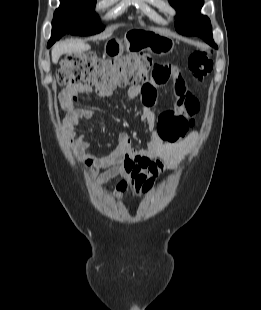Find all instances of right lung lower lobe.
I'll list each match as a JSON object with an SVG mask.
<instances>
[{
    "mask_svg": "<svg viewBox=\"0 0 261 310\" xmlns=\"http://www.w3.org/2000/svg\"><path fill=\"white\" fill-rule=\"evenodd\" d=\"M60 37L59 35L52 37L48 42V47H50L56 40H58Z\"/></svg>",
    "mask_w": 261,
    "mask_h": 310,
    "instance_id": "right-lung-lower-lobe-1",
    "label": "right lung lower lobe"
}]
</instances>
